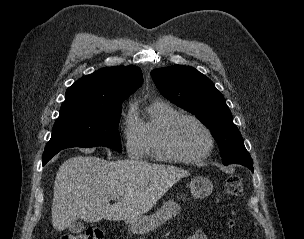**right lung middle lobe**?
<instances>
[{
	"label": "right lung middle lobe",
	"instance_id": "obj_1",
	"mask_svg": "<svg viewBox=\"0 0 304 239\" xmlns=\"http://www.w3.org/2000/svg\"><path fill=\"white\" fill-rule=\"evenodd\" d=\"M121 106L61 112L44 152L69 147L106 146L121 152L118 133Z\"/></svg>",
	"mask_w": 304,
	"mask_h": 239
}]
</instances>
